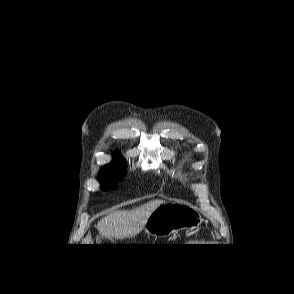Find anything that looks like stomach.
I'll return each instance as SVG.
<instances>
[{
	"label": "stomach",
	"mask_w": 294,
	"mask_h": 294,
	"mask_svg": "<svg viewBox=\"0 0 294 294\" xmlns=\"http://www.w3.org/2000/svg\"><path fill=\"white\" fill-rule=\"evenodd\" d=\"M204 219L192 207L167 202L156 208L144 226V232L154 237H169L181 229L194 230L198 228Z\"/></svg>",
	"instance_id": "0dacf381"
}]
</instances>
